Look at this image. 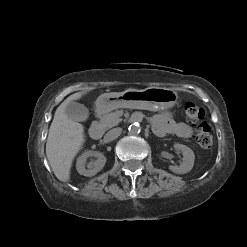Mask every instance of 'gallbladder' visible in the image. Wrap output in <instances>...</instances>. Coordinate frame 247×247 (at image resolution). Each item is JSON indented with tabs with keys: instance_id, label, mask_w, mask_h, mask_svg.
<instances>
[{
	"instance_id": "gallbladder-1",
	"label": "gallbladder",
	"mask_w": 247,
	"mask_h": 247,
	"mask_svg": "<svg viewBox=\"0 0 247 247\" xmlns=\"http://www.w3.org/2000/svg\"><path fill=\"white\" fill-rule=\"evenodd\" d=\"M65 114L69 119L81 122L87 120L89 111L83 104L70 102L65 108Z\"/></svg>"
}]
</instances>
